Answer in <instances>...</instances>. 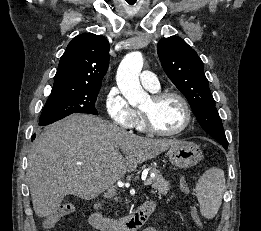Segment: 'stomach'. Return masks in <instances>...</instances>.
Returning <instances> with one entry per match:
<instances>
[{
    "label": "stomach",
    "instance_id": "0dacf381",
    "mask_svg": "<svg viewBox=\"0 0 261 231\" xmlns=\"http://www.w3.org/2000/svg\"><path fill=\"white\" fill-rule=\"evenodd\" d=\"M171 164L177 168H189L202 159V152L193 142L179 141L167 149Z\"/></svg>",
    "mask_w": 261,
    "mask_h": 231
}]
</instances>
